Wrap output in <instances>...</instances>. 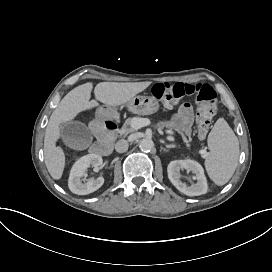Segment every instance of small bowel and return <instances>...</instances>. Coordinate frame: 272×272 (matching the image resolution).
Wrapping results in <instances>:
<instances>
[{
    "label": "small bowel",
    "instance_id": "1",
    "mask_svg": "<svg viewBox=\"0 0 272 272\" xmlns=\"http://www.w3.org/2000/svg\"><path fill=\"white\" fill-rule=\"evenodd\" d=\"M193 108L190 104L184 103L180 106L178 112L173 116L170 122H164L159 125L160 128L173 126L178 133L188 134L193 122Z\"/></svg>",
    "mask_w": 272,
    "mask_h": 272
}]
</instances>
